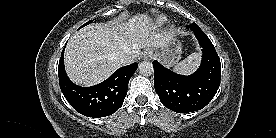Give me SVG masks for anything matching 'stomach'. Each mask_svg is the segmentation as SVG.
Here are the masks:
<instances>
[{
    "label": "stomach",
    "instance_id": "1",
    "mask_svg": "<svg viewBox=\"0 0 276 138\" xmlns=\"http://www.w3.org/2000/svg\"><path fill=\"white\" fill-rule=\"evenodd\" d=\"M182 47L178 40L174 37L171 38L168 43L161 48L156 55L161 59L165 66L171 67L175 65L181 58Z\"/></svg>",
    "mask_w": 276,
    "mask_h": 138
}]
</instances>
